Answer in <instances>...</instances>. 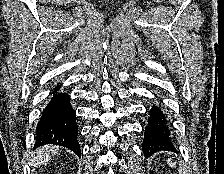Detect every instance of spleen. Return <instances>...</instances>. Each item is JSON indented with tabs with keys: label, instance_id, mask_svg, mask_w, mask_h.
Masks as SVG:
<instances>
[{
	"label": "spleen",
	"instance_id": "spleen-1",
	"mask_svg": "<svg viewBox=\"0 0 224 174\" xmlns=\"http://www.w3.org/2000/svg\"><path fill=\"white\" fill-rule=\"evenodd\" d=\"M168 164H169L170 167H175V163L170 161V160L168 161Z\"/></svg>",
	"mask_w": 224,
	"mask_h": 174
}]
</instances>
